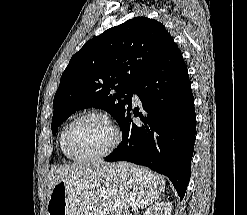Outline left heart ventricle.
Masks as SVG:
<instances>
[{"instance_id": "1", "label": "left heart ventricle", "mask_w": 247, "mask_h": 215, "mask_svg": "<svg viewBox=\"0 0 247 215\" xmlns=\"http://www.w3.org/2000/svg\"><path fill=\"white\" fill-rule=\"evenodd\" d=\"M113 132L102 120L86 118L79 121L72 132L73 151L80 156L104 151L112 142Z\"/></svg>"}]
</instances>
